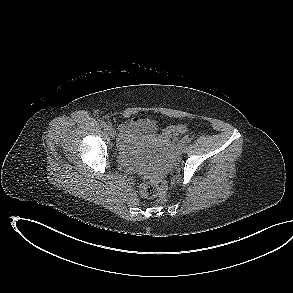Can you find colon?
Masks as SVG:
<instances>
[{
  "label": "colon",
  "instance_id": "colon-1",
  "mask_svg": "<svg viewBox=\"0 0 293 293\" xmlns=\"http://www.w3.org/2000/svg\"><path fill=\"white\" fill-rule=\"evenodd\" d=\"M185 132H187L186 126L177 125L169 128L166 133L168 135H179ZM141 193L146 198L157 197L160 202H164L167 197V183L164 180L145 183L141 187Z\"/></svg>",
  "mask_w": 293,
  "mask_h": 293
}]
</instances>
